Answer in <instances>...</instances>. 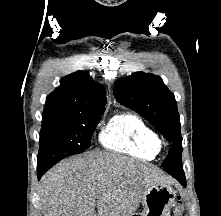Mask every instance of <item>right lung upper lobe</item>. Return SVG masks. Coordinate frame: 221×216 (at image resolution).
I'll list each match as a JSON object with an SVG mask.
<instances>
[{"instance_id":"cb5924a9","label":"right lung upper lobe","mask_w":221,"mask_h":216,"mask_svg":"<svg viewBox=\"0 0 221 216\" xmlns=\"http://www.w3.org/2000/svg\"><path fill=\"white\" fill-rule=\"evenodd\" d=\"M60 86L46 99L42 124L65 122L81 115L104 112L106 90L87 72L78 71L63 77Z\"/></svg>"}]
</instances>
